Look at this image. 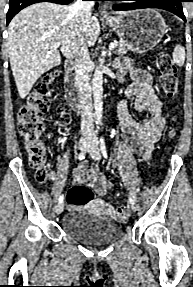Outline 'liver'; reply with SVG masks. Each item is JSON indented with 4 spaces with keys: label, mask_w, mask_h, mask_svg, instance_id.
<instances>
[{
    "label": "liver",
    "mask_w": 193,
    "mask_h": 287,
    "mask_svg": "<svg viewBox=\"0 0 193 287\" xmlns=\"http://www.w3.org/2000/svg\"><path fill=\"white\" fill-rule=\"evenodd\" d=\"M71 6L41 2L20 11L8 26L11 70L21 99L37 79L61 63V53L73 59L81 45L92 47L100 33L96 16L84 23ZM126 12H117L122 15ZM60 42V51L54 47Z\"/></svg>",
    "instance_id": "1"
}]
</instances>
